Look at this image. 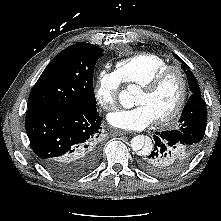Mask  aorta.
<instances>
[{"instance_id":"1","label":"aorta","mask_w":221,"mask_h":221,"mask_svg":"<svg viewBox=\"0 0 221 221\" xmlns=\"http://www.w3.org/2000/svg\"><path fill=\"white\" fill-rule=\"evenodd\" d=\"M139 90L136 85H129L127 90H124L119 95V100L125 108H131L134 104V94ZM130 146L138 155H145L153 148L152 141L144 135H137L132 138Z\"/></svg>"}]
</instances>
